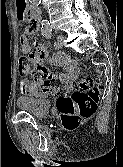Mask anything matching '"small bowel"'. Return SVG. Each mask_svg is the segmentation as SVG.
Returning <instances> with one entry per match:
<instances>
[{
    "label": "small bowel",
    "instance_id": "small-bowel-1",
    "mask_svg": "<svg viewBox=\"0 0 123 167\" xmlns=\"http://www.w3.org/2000/svg\"><path fill=\"white\" fill-rule=\"evenodd\" d=\"M15 3H17V9H18L15 10V14H17L18 19H20L18 20V24H25V20L23 19L27 17L25 9H27L28 1L15 0ZM36 29H37L36 20L33 17H31L29 26L27 27V32L25 34H22L20 37V45L22 52L26 54L31 61V67L26 72L21 73L22 75H26L27 73H29L33 67L36 68L42 67L46 69L44 66V62L48 58L47 50L42 45L39 44L35 45L34 49V47L29 42L28 33H32L36 31ZM57 55L58 54L53 56L52 62L56 64H61L62 62L57 61ZM74 75H75V68L72 65H66L65 72L62 74L61 77L64 81L68 82L73 78ZM19 90L24 95H30L36 97L41 95V91L37 87V85H35L34 83H30L26 78H22L20 80Z\"/></svg>",
    "mask_w": 123,
    "mask_h": 167
}]
</instances>
